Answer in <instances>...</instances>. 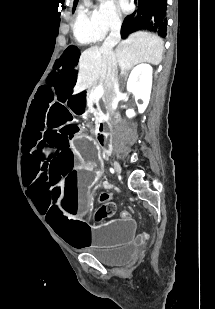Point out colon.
Returning <instances> with one entry per match:
<instances>
[{
    "label": "colon",
    "mask_w": 215,
    "mask_h": 309,
    "mask_svg": "<svg viewBox=\"0 0 215 309\" xmlns=\"http://www.w3.org/2000/svg\"><path fill=\"white\" fill-rule=\"evenodd\" d=\"M116 204L108 199L107 202L100 208V218L112 217L115 214Z\"/></svg>",
    "instance_id": "1"
}]
</instances>
